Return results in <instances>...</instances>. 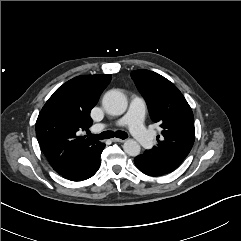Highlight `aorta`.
<instances>
[{
  "label": "aorta",
  "instance_id": "obj_1",
  "mask_svg": "<svg viewBox=\"0 0 241 241\" xmlns=\"http://www.w3.org/2000/svg\"><path fill=\"white\" fill-rule=\"evenodd\" d=\"M105 111L110 115H121L127 109V99L123 93L118 90L108 91L102 100ZM123 149L130 156L140 154L141 147L139 143L133 139H128L123 144Z\"/></svg>",
  "mask_w": 241,
  "mask_h": 241
}]
</instances>
